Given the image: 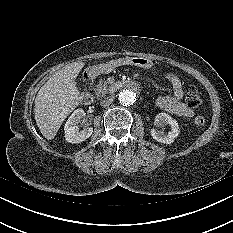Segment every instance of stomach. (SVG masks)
Masks as SVG:
<instances>
[{
    "instance_id": "0dacf381",
    "label": "stomach",
    "mask_w": 233,
    "mask_h": 233,
    "mask_svg": "<svg viewBox=\"0 0 233 233\" xmlns=\"http://www.w3.org/2000/svg\"><path fill=\"white\" fill-rule=\"evenodd\" d=\"M128 65L130 66H138L142 68H150L153 65V62L151 59L147 57H130L128 59L122 58L114 61H106L103 65L99 66H93L89 68V71L93 74H102L107 73L109 70L112 69H119V68H125Z\"/></svg>"
}]
</instances>
